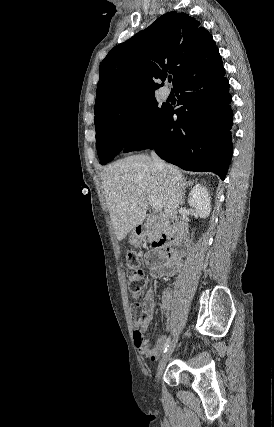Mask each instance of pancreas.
<instances>
[{
  "instance_id": "1",
  "label": "pancreas",
  "mask_w": 274,
  "mask_h": 427,
  "mask_svg": "<svg viewBox=\"0 0 274 427\" xmlns=\"http://www.w3.org/2000/svg\"><path fill=\"white\" fill-rule=\"evenodd\" d=\"M162 231L163 229L160 227L159 223H157V219H151L148 223L146 235L148 239H158Z\"/></svg>"
}]
</instances>
